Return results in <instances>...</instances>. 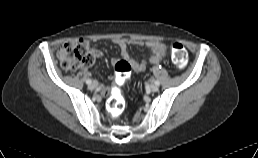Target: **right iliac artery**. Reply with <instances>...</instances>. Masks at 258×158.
Returning a JSON list of instances; mask_svg holds the SVG:
<instances>
[{
    "label": "right iliac artery",
    "instance_id": "right-iliac-artery-1",
    "mask_svg": "<svg viewBox=\"0 0 258 158\" xmlns=\"http://www.w3.org/2000/svg\"><path fill=\"white\" fill-rule=\"evenodd\" d=\"M91 80L90 79H88V80H86V83L89 85V84H91Z\"/></svg>",
    "mask_w": 258,
    "mask_h": 158
}]
</instances>
